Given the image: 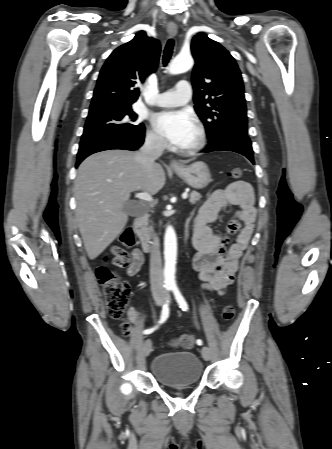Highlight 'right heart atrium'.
I'll return each instance as SVG.
<instances>
[{"instance_id": "right-heart-atrium-1", "label": "right heart atrium", "mask_w": 332, "mask_h": 449, "mask_svg": "<svg viewBox=\"0 0 332 449\" xmlns=\"http://www.w3.org/2000/svg\"><path fill=\"white\" fill-rule=\"evenodd\" d=\"M147 143L157 149H163L166 146L164 138L155 130H148L146 134Z\"/></svg>"}]
</instances>
